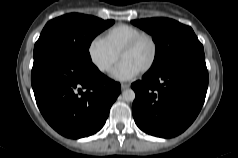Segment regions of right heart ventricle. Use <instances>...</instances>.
Instances as JSON below:
<instances>
[{
	"instance_id": "obj_1",
	"label": "right heart ventricle",
	"mask_w": 238,
	"mask_h": 158,
	"mask_svg": "<svg viewBox=\"0 0 238 158\" xmlns=\"http://www.w3.org/2000/svg\"><path fill=\"white\" fill-rule=\"evenodd\" d=\"M141 33H143V31L138 27L128 24H119L109 28L102 38L119 54L128 41Z\"/></svg>"
}]
</instances>
